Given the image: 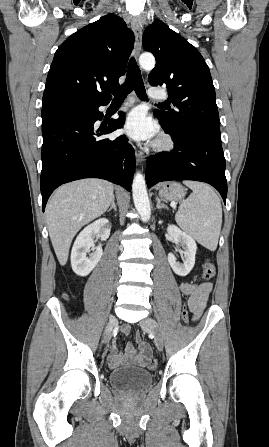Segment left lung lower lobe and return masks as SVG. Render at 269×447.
Segmentation results:
<instances>
[{"mask_svg": "<svg viewBox=\"0 0 269 447\" xmlns=\"http://www.w3.org/2000/svg\"><path fill=\"white\" fill-rule=\"evenodd\" d=\"M162 128L171 135L174 149L148 157L147 186L170 180L202 181L215 187L226 203V162L220 136L206 131H170L164 125Z\"/></svg>", "mask_w": 269, "mask_h": 447, "instance_id": "0a47b994", "label": "left lung lower lobe"}]
</instances>
